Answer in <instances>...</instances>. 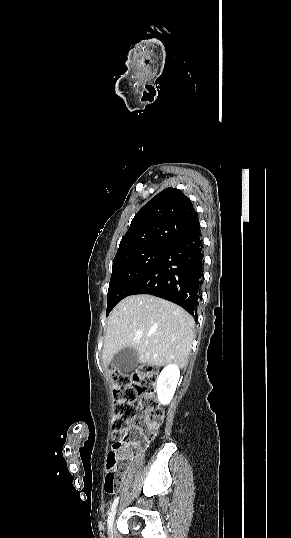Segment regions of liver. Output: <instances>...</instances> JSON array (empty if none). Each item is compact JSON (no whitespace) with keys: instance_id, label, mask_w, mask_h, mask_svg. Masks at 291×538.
<instances>
[{"instance_id":"obj_1","label":"liver","mask_w":291,"mask_h":538,"mask_svg":"<svg viewBox=\"0 0 291 538\" xmlns=\"http://www.w3.org/2000/svg\"><path fill=\"white\" fill-rule=\"evenodd\" d=\"M194 326L192 316L176 304L148 294L129 296L109 316L103 362L108 365L116 353L131 347L140 363L183 367L192 347Z\"/></svg>"}]
</instances>
